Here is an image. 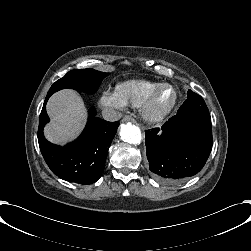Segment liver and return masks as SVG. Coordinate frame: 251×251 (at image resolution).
<instances>
[{
    "instance_id": "obj_1",
    "label": "liver",
    "mask_w": 251,
    "mask_h": 251,
    "mask_svg": "<svg viewBox=\"0 0 251 251\" xmlns=\"http://www.w3.org/2000/svg\"><path fill=\"white\" fill-rule=\"evenodd\" d=\"M51 122L44 128L46 139L55 144L73 140L83 129L87 111L82 98L71 89L54 93L46 106Z\"/></svg>"
}]
</instances>
